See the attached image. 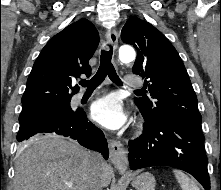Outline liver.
Listing matches in <instances>:
<instances>
[{
    "instance_id": "1",
    "label": "liver",
    "mask_w": 221,
    "mask_h": 190,
    "mask_svg": "<svg viewBox=\"0 0 221 190\" xmlns=\"http://www.w3.org/2000/svg\"><path fill=\"white\" fill-rule=\"evenodd\" d=\"M90 155L75 141L55 135L33 137L18 150L14 190H87ZM111 175L105 163L103 187L110 184Z\"/></svg>"
}]
</instances>
